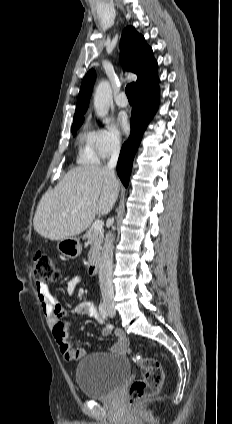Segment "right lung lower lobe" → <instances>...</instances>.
Masks as SVG:
<instances>
[{
  "label": "right lung lower lobe",
  "instance_id": "1",
  "mask_svg": "<svg viewBox=\"0 0 232 424\" xmlns=\"http://www.w3.org/2000/svg\"><path fill=\"white\" fill-rule=\"evenodd\" d=\"M159 96L158 77L147 87L136 91L135 105L132 108L130 121L131 134L121 148L117 163V173L125 187L129 182L133 159L142 135L157 110Z\"/></svg>",
  "mask_w": 232,
  "mask_h": 424
}]
</instances>
